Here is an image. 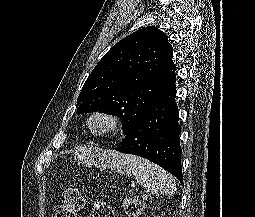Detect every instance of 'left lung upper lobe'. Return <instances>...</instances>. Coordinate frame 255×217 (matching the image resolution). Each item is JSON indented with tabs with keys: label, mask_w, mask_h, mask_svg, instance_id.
<instances>
[{
	"label": "left lung upper lobe",
	"mask_w": 255,
	"mask_h": 217,
	"mask_svg": "<svg viewBox=\"0 0 255 217\" xmlns=\"http://www.w3.org/2000/svg\"><path fill=\"white\" fill-rule=\"evenodd\" d=\"M173 47L158 28H142L116 43L97 63L78 96L77 114L122 119L124 134L175 78Z\"/></svg>",
	"instance_id": "left-lung-upper-lobe-1"
}]
</instances>
